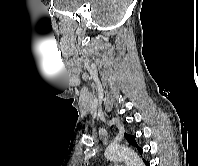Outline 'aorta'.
Masks as SVG:
<instances>
[{
  "label": "aorta",
  "instance_id": "aorta-1",
  "mask_svg": "<svg viewBox=\"0 0 198 166\" xmlns=\"http://www.w3.org/2000/svg\"><path fill=\"white\" fill-rule=\"evenodd\" d=\"M105 156L109 160L124 161L126 166H145L142 159L127 146L110 145L105 150Z\"/></svg>",
  "mask_w": 198,
  "mask_h": 166
}]
</instances>
